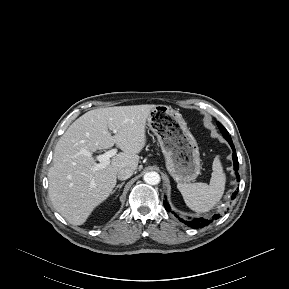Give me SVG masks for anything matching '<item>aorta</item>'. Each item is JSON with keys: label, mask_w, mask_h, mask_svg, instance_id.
I'll list each match as a JSON object with an SVG mask.
<instances>
[{"label": "aorta", "mask_w": 289, "mask_h": 289, "mask_svg": "<svg viewBox=\"0 0 289 289\" xmlns=\"http://www.w3.org/2000/svg\"><path fill=\"white\" fill-rule=\"evenodd\" d=\"M144 181L150 185H157L160 182V175L157 172H147L144 175Z\"/></svg>", "instance_id": "1"}]
</instances>
